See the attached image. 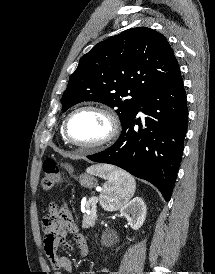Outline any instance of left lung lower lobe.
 <instances>
[{
  "label": "left lung lower lobe",
  "instance_id": "0a47b994",
  "mask_svg": "<svg viewBox=\"0 0 215 274\" xmlns=\"http://www.w3.org/2000/svg\"><path fill=\"white\" fill-rule=\"evenodd\" d=\"M140 111L146 115L143 121L136 118ZM187 120L186 93L179 70L143 98L122 124V133L112 147L87 158L119 166L147 180L169 201L182 159Z\"/></svg>",
  "mask_w": 215,
  "mask_h": 274
}]
</instances>
